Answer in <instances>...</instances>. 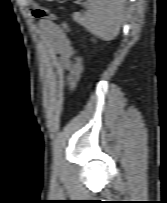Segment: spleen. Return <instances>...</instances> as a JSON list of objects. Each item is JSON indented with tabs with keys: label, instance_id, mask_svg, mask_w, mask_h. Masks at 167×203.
Listing matches in <instances>:
<instances>
[{
	"label": "spleen",
	"instance_id": "obj_1",
	"mask_svg": "<svg viewBox=\"0 0 167 203\" xmlns=\"http://www.w3.org/2000/svg\"><path fill=\"white\" fill-rule=\"evenodd\" d=\"M81 0H77V3ZM84 13H74L73 19L87 31L103 40L115 38L124 19L126 0H87Z\"/></svg>",
	"mask_w": 167,
	"mask_h": 203
}]
</instances>
